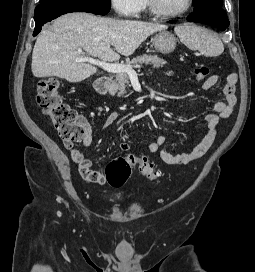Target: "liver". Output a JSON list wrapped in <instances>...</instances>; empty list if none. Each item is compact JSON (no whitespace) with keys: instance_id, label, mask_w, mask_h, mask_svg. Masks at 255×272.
<instances>
[{"instance_id":"obj_1","label":"liver","mask_w":255,"mask_h":272,"mask_svg":"<svg viewBox=\"0 0 255 272\" xmlns=\"http://www.w3.org/2000/svg\"><path fill=\"white\" fill-rule=\"evenodd\" d=\"M167 28L159 23L68 13L38 35L32 53V73L38 78L56 76L71 83L81 82L95 74L97 68L77 62L78 50L103 62L116 61L120 55L133 54L151 34Z\"/></svg>"}]
</instances>
